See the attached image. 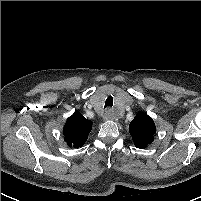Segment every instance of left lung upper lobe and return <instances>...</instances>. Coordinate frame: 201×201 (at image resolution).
<instances>
[{
    "label": "left lung upper lobe",
    "instance_id": "obj_1",
    "mask_svg": "<svg viewBox=\"0 0 201 201\" xmlns=\"http://www.w3.org/2000/svg\"><path fill=\"white\" fill-rule=\"evenodd\" d=\"M129 132L137 148H145L152 143L156 127L147 114L138 113L129 125Z\"/></svg>",
    "mask_w": 201,
    "mask_h": 201
}]
</instances>
